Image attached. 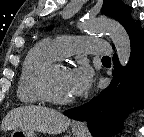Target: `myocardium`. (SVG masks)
I'll return each mask as SVG.
<instances>
[{"instance_id": "myocardium-1", "label": "myocardium", "mask_w": 144, "mask_h": 137, "mask_svg": "<svg viewBox=\"0 0 144 137\" xmlns=\"http://www.w3.org/2000/svg\"><path fill=\"white\" fill-rule=\"evenodd\" d=\"M60 67L69 69L67 65L59 61H54L42 68L37 76L36 87L44 101L55 105H69L74 102L73 97L59 98L53 93L51 88L52 75Z\"/></svg>"}]
</instances>
